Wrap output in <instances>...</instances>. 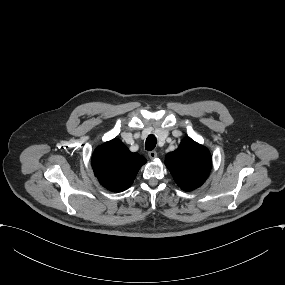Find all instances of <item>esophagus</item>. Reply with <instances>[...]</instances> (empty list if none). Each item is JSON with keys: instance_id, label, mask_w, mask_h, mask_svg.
<instances>
[{"instance_id": "1", "label": "esophagus", "mask_w": 285, "mask_h": 285, "mask_svg": "<svg viewBox=\"0 0 285 285\" xmlns=\"http://www.w3.org/2000/svg\"><path fill=\"white\" fill-rule=\"evenodd\" d=\"M148 156H149V158L150 159H154V158H156V156H157V152L156 151H153V150H151V151H149L148 152Z\"/></svg>"}]
</instances>
